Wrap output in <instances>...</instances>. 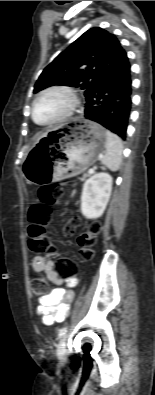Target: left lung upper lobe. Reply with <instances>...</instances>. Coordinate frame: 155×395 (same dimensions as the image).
<instances>
[{"label": "left lung upper lobe", "instance_id": "1", "mask_svg": "<svg viewBox=\"0 0 155 395\" xmlns=\"http://www.w3.org/2000/svg\"><path fill=\"white\" fill-rule=\"evenodd\" d=\"M127 56L114 34L92 28L61 52L42 72L34 93L53 85L80 87L87 98L103 76Z\"/></svg>", "mask_w": 155, "mask_h": 395}]
</instances>
